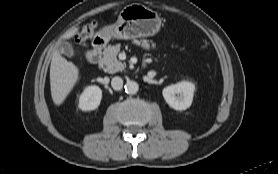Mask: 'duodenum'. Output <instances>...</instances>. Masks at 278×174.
<instances>
[{"label": "duodenum", "instance_id": "410a0bca", "mask_svg": "<svg viewBox=\"0 0 278 174\" xmlns=\"http://www.w3.org/2000/svg\"><path fill=\"white\" fill-rule=\"evenodd\" d=\"M106 44V41L102 37H96L93 41L92 48L87 52L86 58L88 62L96 64L101 59L102 50Z\"/></svg>", "mask_w": 278, "mask_h": 174}]
</instances>
